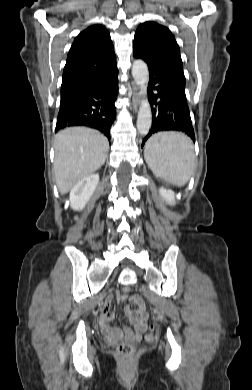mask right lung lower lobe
<instances>
[{"mask_svg":"<svg viewBox=\"0 0 252 390\" xmlns=\"http://www.w3.org/2000/svg\"><path fill=\"white\" fill-rule=\"evenodd\" d=\"M117 75L115 66L106 76L61 95L56 131L69 126H89L110 139V128L116 119Z\"/></svg>","mask_w":252,"mask_h":390,"instance_id":"right-lung-lower-lobe-1","label":"right lung lower lobe"}]
</instances>
